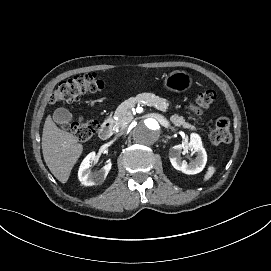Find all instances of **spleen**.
Segmentation results:
<instances>
[{"label": "spleen", "mask_w": 271, "mask_h": 271, "mask_svg": "<svg viewBox=\"0 0 271 271\" xmlns=\"http://www.w3.org/2000/svg\"><path fill=\"white\" fill-rule=\"evenodd\" d=\"M213 171H214V169L212 168V167H210L209 169H208V173H207V175H206V179H208L212 174H213Z\"/></svg>", "instance_id": "3e777b00"}]
</instances>
